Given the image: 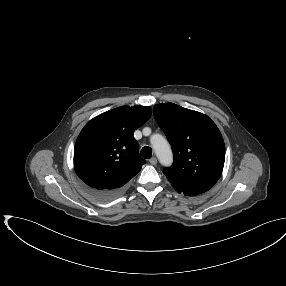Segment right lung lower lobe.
<instances>
[{
  "label": "right lung lower lobe",
  "mask_w": 286,
  "mask_h": 286,
  "mask_svg": "<svg viewBox=\"0 0 286 286\" xmlns=\"http://www.w3.org/2000/svg\"><path fill=\"white\" fill-rule=\"evenodd\" d=\"M87 191L96 198L99 199H109L118 195L121 191H107V190H97L94 188L87 187Z\"/></svg>",
  "instance_id": "98d812e1"
}]
</instances>
